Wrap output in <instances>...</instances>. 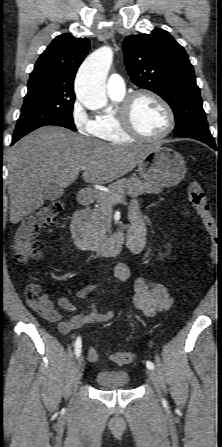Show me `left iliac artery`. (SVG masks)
<instances>
[{"mask_svg": "<svg viewBox=\"0 0 222 447\" xmlns=\"http://www.w3.org/2000/svg\"><path fill=\"white\" fill-rule=\"evenodd\" d=\"M146 366H147V368H149V369H154V364H153L151 361H147V362H146Z\"/></svg>", "mask_w": 222, "mask_h": 447, "instance_id": "obj_1", "label": "left iliac artery"}]
</instances>
